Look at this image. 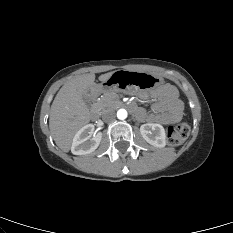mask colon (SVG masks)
I'll list each match as a JSON object with an SVG mask.
<instances>
[{"mask_svg": "<svg viewBox=\"0 0 233 233\" xmlns=\"http://www.w3.org/2000/svg\"><path fill=\"white\" fill-rule=\"evenodd\" d=\"M190 134V127L187 123L181 122L167 129V141L170 145L178 146L182 144Z\"/></svg>", "mask_w": 233, "mask_h": 233, "instance_id": "obj_1", "label": "colon"}]
</instances>
